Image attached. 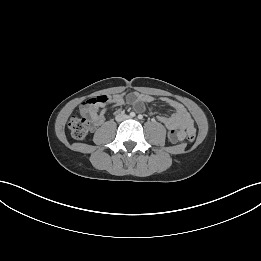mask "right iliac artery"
I'll return each instance as SVG.
<instances>
[{"label": "right iliac artery", "instance_id": "1", "mask_svg": "<svg viewBox=\"0 0 261 261\" xmlns=\"http://www.w3.org/2000/svg\"><path fill=\"white\" fill-rule=\"evenodd\" d=\"M130 116H131V117H135L136 114H135L134 112H131V113H130Z\"/></svg>", "mask_w": 261, "mask_h": 261}]
</instances>
